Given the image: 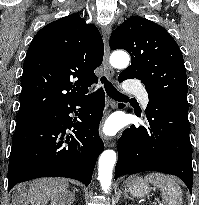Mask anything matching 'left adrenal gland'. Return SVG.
Segmentation results:
<instances>
[{
	"mask_svg": "<svg viewBox=\"0 0 199 205\" xmlns=\"http://www.w3.org/2000/svg\"><path fill=\"white\" fill-rule=\"evenodd\" d=\"M124 198L125 199H127V198L132 199L131 197L128 196L127 192H124Z\"/></svg>",
	"mask_w": 199,
	"mask_h": 205,
	"instance_id": "1",
	"label": "left adrenal gland"
}]
</instances>
